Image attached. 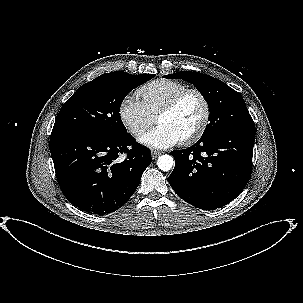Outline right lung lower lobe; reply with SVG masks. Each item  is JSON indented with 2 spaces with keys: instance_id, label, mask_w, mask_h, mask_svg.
Instances as JSON below:
<instances>
[{
  "instance_id": "1",
  "label": "right lung lower lobe",
  "mask_w": 303,
  "mask_h": 303,
  "mask_svg": "<svg viewBox=\"0 0 303 303\" xmlns=\"http://www.w3.org/2000/svg\"><path fill=\"white\" fill-rule=\"evenodd\" d=\"M49 148L66 199L98 215L111 213L126 203L151 163L149 148L136 143L129 133L114 137L55 135L50 137Z\"/></svg>"
}]
</instances>
